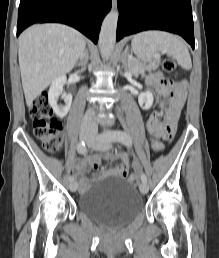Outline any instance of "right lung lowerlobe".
<instances>
[{
  "instance_id": "right-lung-lower-lobe-1",
  "label": "right lung lower lobe",
  "mask_w": 219,
  "mask_h": 258,
  "mask_svg": "<svg viewBox=\"0 0 219 258\" xmlns=\"http://www.w3.org/2000/svg\"><path fill=\"white\" fill-rule=\"evenodd\" d=\"M112 0H20L17 36L34 23L58 22L70 25L95 44L103 18Z\"/></svg>"
}]
</instances>
